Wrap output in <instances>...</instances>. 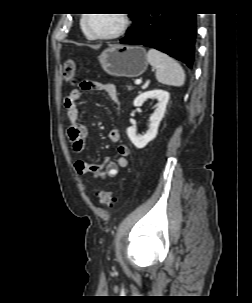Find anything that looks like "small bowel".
I'll return each instance as SVG.
<instances>
[{
	"label": "small bowel",
	"instance_id": "small-bowel-1",
	"mask_svg": "<svg viewBox=\"0 0 252 303\" xmlns=\"http://www.w3.org/2000/svg\"><path fill=\"white\" fill-rule=\"evenodd\" d=\"M87 90L102 91L109 97L117 109L120 105V99L118 97L116 87L110 83L100 84L96 82L83 81L80 83L78 88L70 91L65 99L64 106L70 121L67 138L74 156H79L85 148L86 137L89 129L88 124L80 119L78 107L82 93ZM108 138L112 143L120 142L121 133L119 128L115 127L111 129L109 131ZM116 154V159H106L102 163H89L81 158H77L74 162L75 171L81 175L88 174L93 180H104L114 177L118 173L119 169L127 166L129 147L126 144L118 145L116 148Z\"/></svg>",
	"mask_w": 252,
	"mask_h": 303
}]
</instances>
